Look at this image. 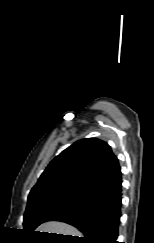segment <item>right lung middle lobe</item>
<instances>
[{"mask_svg": "<svg viewBox=\"0 0 154 243\" xmlns=\"http://www.w3.org/2000/svg\"><path fill=\"white\" fill-rule=\"evenodd\" d=\"M85 200L70 196H43L29 200L24 214V231L32 234L41 223L46 222L53 215L65 210L75 208L83 204Z\"/></svg>", "mask_w": 154, "mask_h": 243, "instance_id": "obj_1", "label": "right lung middle lobe"}]
</instances>
